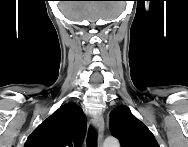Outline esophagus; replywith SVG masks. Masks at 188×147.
Wrapping results in <instances>:
<instances>
[{"mask_svg":"<svg viewBox=\"0 0 188 147\" xmlns=\"http://www.w3.org/2000/svg\"><path fill=\"white\" fill-rule=\"evenodd\" d=\"M92 124L96 131L98 132V141L100 147L102 146L103 141V132H104V119L101 114H96L92 119Z\"/></svg>","mask_w":188,"mask_h":147,"instance_id":"esophagus-1","label":"esophagus"}]
</instances>
